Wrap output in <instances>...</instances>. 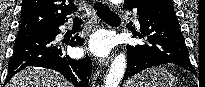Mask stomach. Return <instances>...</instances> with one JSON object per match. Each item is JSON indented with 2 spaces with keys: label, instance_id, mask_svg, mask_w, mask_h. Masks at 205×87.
Wrapping results in <instances>:
<instances>
[{
  "label": "stomach",
  "instance_id": "stomach-1",
  "mask_svg": "<svg viewBox=\"0 0 205 87\" xmlns=\"http://www.w3.org/2000/svg\"><path fill=\"white\" fill-rule=\"evenodd\" d=\"M173 75L164 68H149L132 78L127 87H174Z\"/></svg>",
  "mask_w": 205,
  "mask_h": 87
}]
</instances>
